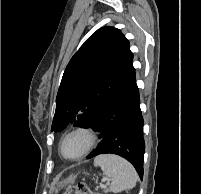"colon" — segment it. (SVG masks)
<instances>
[{
    "label": "colon",
    "instance_id": "5ec220e1",
    "mask_svg": "<svg viewBox=\"0 0 201 194\" xmlns=\"http://www.w3.org/2000/svg\"><path fill=\"white\" fill-rule=\"evenodd\" d=\"M63 194H99L92 191L86 184L78 183L70 186Z\"/></svg>",
    "mask_w": 201,
    "mask_h": 194
}]
</instances>
